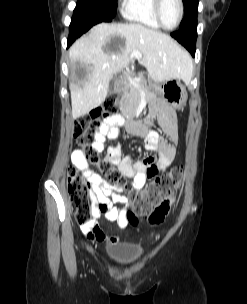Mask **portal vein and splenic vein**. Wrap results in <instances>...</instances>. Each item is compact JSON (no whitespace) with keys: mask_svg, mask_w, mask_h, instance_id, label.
I'll return each instance as SVG.
<instances>
[{"mask_svg":"<svg viewBox=\"0 0 247 304\" xmlns=\"http://www.w3.org/2000/svg\"><path fill=\"white\" fill-rule=\"evenodd\" d=\"M134 57L137 58V59H141L142 54L139 51H134L133 53H131L130 59H133ZM128 79H129L131 84H133L136 88L139 89V84L136 80H134L132 77H128ZM140 92H141V95H143V96L145 95V93L143 91L140 90Z\"/></svg>","mask_w":247,"mask_h":304,"instance_id":"1","label":"portal vein and splenic vein"}]
</instances>
